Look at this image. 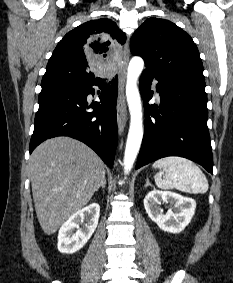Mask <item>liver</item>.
<instances>
[{"mask_svg": "<svg viewBox=\"0 0 233 283\" xmlns=\"http://www.w3.org/2000/svg\"><path fill=\"white\" fill-rule=\"evenodd\" d=\"M29 168L36 215L48 235L90 201L105 176L99 156L65 136L41 143L31 154Z\"/></svg>", "mask_w": 233, "mask_h": 283, "instance_id": "obj_1", "label": "liver"}]
</instances>
